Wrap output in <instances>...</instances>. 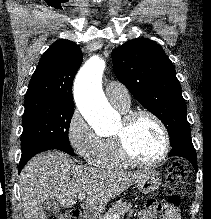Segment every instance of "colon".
<instances>
[{
    "instance_id": "5ec220e1",
    "label": "colon",
    "mask_w": 211,
    "mask_h": 219,
    "mask_svg": "<svg viewBox=\"0 0 211 219\" xmlns=\"http://www.w3.org/2000/svg\"><path fill=\"white\" fill-rule=\"evenodd\" d=\"M188 173V167L185 162L181 160L174 161L169 169L167 175V187L165 189V194L167 196L168 202L171 205H178L181 200L180 190L184 187L186 177ZM81 214L79 211H71L68 214L54 215L47 219H81Z\"/></svg>"
}]
</instances>
